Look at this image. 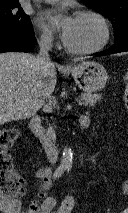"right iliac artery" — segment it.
<instances>
[{
    "mask_svg": "<svg viewBox=\"0 0 128 213\" xmlns=\"http://www.w3.org/2000/svg\"><path fill=\"white\" fill-rule=\"evenodd\" d=\"M65 169H66L65 166H63V165L59 166L54 173V178H59L63 174Z\"/></svg>",
    "mask_w": 128,
    "mask_h": 213,
    "instance_id": "1",
    "label": "right iliac artery"
}]
</instances>
